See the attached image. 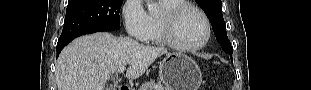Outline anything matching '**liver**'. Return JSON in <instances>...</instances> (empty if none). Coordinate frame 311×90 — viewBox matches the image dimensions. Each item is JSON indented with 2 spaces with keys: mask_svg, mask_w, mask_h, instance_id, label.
Listing matches in <instances>:
<instances>
[{
  "mask_svg": "<svg viewBox=\"0 0 311 90\" xmlns=\"http://www.w3.org/2000/svg\"><path fill=\"white\" fill-rule=\"evenodd\" d=\"M161 47L146 46L129 37L95 33L76 38L62 50L56 64L58 90H104L110 76L129 64L126 77L137 79L160 56Z\"/></svg>",
  "mask_w": 311,
  "mask_h": 90,
  "instance_id": "liver-1",
  "label": "liver"
}]
</instances>
